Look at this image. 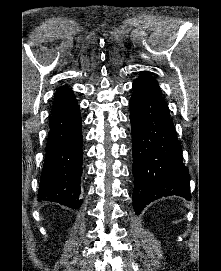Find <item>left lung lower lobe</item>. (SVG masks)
I'll use <instances>...</instances> for the list:
<instances>
[{
    "instance_id": "0a47b994",
    "label": "left lung lower lobe",
    "mask_w": 221,
    "mask_h": 271,
    "mask_svg": "<svg viewBox=\"0 0 221 271\" xmlns=\"http://www.w3.org/2000/svg\"><path fill=\"white\" fill-rule=\"evenodd\" d=\"M129 101L133 139V205L136 214L154 200L177 195L191 200L190 176L162 96L135 81Z\"/></svg>"
}]
</instances>
